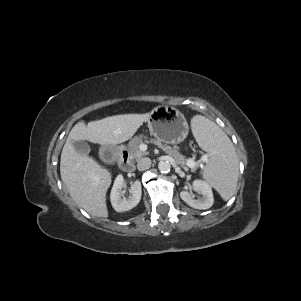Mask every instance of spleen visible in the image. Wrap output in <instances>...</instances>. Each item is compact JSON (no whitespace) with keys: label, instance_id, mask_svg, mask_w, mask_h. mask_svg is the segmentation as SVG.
Returning <instances> with one entry per match:
<instances>
[{"label":"spleen","instance_id":"obj_1","mask_svg":"<svg viewBox=\"0 0 301 301\" xmlns=\"http://www.w3.org/2000/svg\"><path fill=\"white\" fill-rule=\"evenodd\" d=\"M191 127L198 144L209 154L203 178L224 200L230 199L238 182V158L231 140L218 125L201 115L192 118Z\"/></svg>","mask_w":301,"mask_h":301}]
</instances>
